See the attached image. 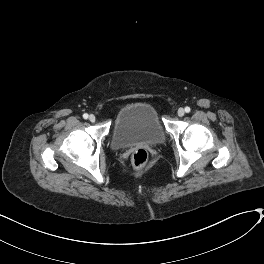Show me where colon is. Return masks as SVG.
<instances>
[{"mask_svg":"<svg viewBox=\"0 0 264 264\" xmlns=\"http://www.w3.org/2000/svg\"><path fill=\"white\" fill-rule=\"evenodd\" d=\"M148 161V152L144 148L137 149L133 156L132 162L136 169H142Z\"/></svg>","mask_w":264,"mask_h":264,"instance_id":"colon-1","label":"colon"}]
</instances>
